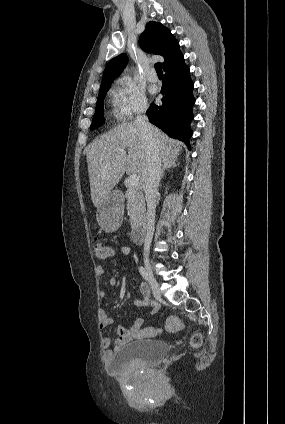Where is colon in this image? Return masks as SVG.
I'll list each match as a JSON object with an SVG mask.
<instances>
[{
    "mask_svg": "<svg viewBox=\"0 0 285 424\" xmlns=\"http://www.w3.org/2000/svg\"><path fill=\"white\" fill-rule=\"evenodd\" d=\"M92 251L96 258L102 259V260H106L110 258L114 253L111 245H109L108 243L100 239L94 240L92 244ZM182 328H183L182 320L177 316H170L164 323L163 327L144 329L141 333V338L142 339L151 338L158 335L162 331H166L168 333H174L181 330ZM201 342H202V337L200 334H194L192 336L191 345L193 347L200 346Z\"/></svg>",
    "mask_w": 285,
    "mask_h": 424,
    "instance_id": "1",
    "label": "colon"
}]
</instances>
